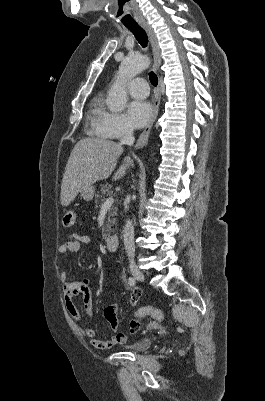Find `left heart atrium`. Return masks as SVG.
Segmentation results:
<instances>
[{
	"instance_id": "39dd6f15",
	"label": "left heart atrium",
	"mask_w": 265,
	"mask_h": 401,
	"mask_svg": "<svg viewBox=\"0 0 265 401\" xmlns=\"http://www.w3.org/2000/svg\"><path fill=\"white\" fill-rule=\"evenodd\" d=\"M126 112L133 126L141 128L149 122L152 115V107L146 101H131L127 105Z\"/></svg>"
}]
</instances>
